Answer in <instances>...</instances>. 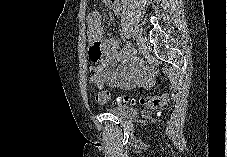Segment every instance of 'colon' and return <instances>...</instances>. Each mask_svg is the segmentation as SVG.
<instances>
[{
  "mask_svg": "<svg viewBox=\"0 0 227 157\" xmlns=\"http://www.w3.org/2000/svg\"><path fill=\"white\" fill-rule=\"evenodd\" d=\"M101 73V68L99 65L92 67L90 71L91 78L98 76ZM95 99L99 104H106L110 100V93L107 90H99L96 95ZM169 100V94L165 93L160 96H145L141 97L138 101L134 98L127 96V95H119L115 98L114 103L119 106L125 105H134L139 103L143 106H149L153 108H159L164 106Z\"/></svg>",
  "mask_w": 227,
  "mask_h": 157,
  "instance_id": "obj_1",
  "label": "colon"
}]
</instances>
